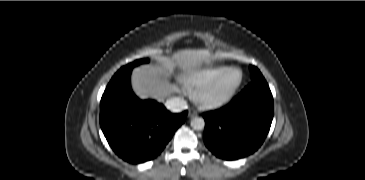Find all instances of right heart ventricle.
I'll return each mask as SVG.
<instances>
[{"instance_id":"e07e8e85","label":"right heart ventricle","mask_w":365,"mask_h":180,"mask_svg":"<svg viewBox=\"0 0 365 180\" xmlns=\"http://www.w3.org/2000/svg\"><path fill=\"white\" fill-rule=\"evenodd\" d=\"M227 68L226 66H212L200 69L196 72L190 73L182 78L184 88L188 92H194L204 84L213 79L222 70Z\"/></svg>"}]
</instances>
